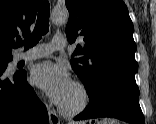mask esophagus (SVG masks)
<instances>
[{"mask_svg":"<svg viewBox=\"0 0 156 124\" xmlns=\"http://www.w3.org/2000/svg\"><path fill=\"white\" fill-rule=\"evenodd\" d=\"M48 116L51 124H60V118L53 110L48 109Z\"/></svg>","mask_w":156,"mask_h":124,"instance_id":"esophagus-1","label":"esophagus"}]
</instances>
